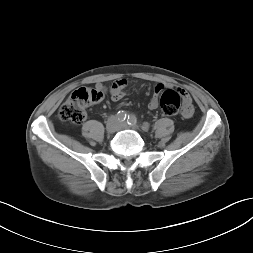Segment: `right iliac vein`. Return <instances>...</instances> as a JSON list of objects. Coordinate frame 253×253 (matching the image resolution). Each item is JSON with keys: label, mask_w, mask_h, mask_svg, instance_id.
Here are the masks:
<instances>
[{"label": "right iliac vein", "mask_w": 253, "mask_h": 253, "mask_svg": "<svg viewBox=\"0 0 253 253\" xmlns=\"http://www.w3.org/2000/svg\"><path fill=\"white\" fill-rule=\"evenodd\" d=\"M118 128V121L115 117H111L106 123V131L109 134L115 133Z\"/></svg>", "instance_id": "right-iliac-vein-1"}]
</instances>
